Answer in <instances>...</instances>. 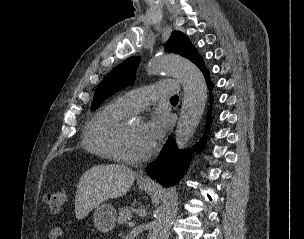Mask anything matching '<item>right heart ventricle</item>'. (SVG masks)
<instances>
[{"label": "right heart ventricle", "instance_id": "e07e8e85", "mask_svg": "<svg viewBox=\"0 0 304 239\" xmlns=\"http://www.w3.org/2000/svg\"><path fill=\"white\" fill-rule=\"evenodd\" d=\"M134 111L121 99L99 109L85 126L83 145L91 153L109 161H121L116 150V136L126 118Z\"/></svg>", "mask_w": 304, "mask_h": 239}]
</instances>
